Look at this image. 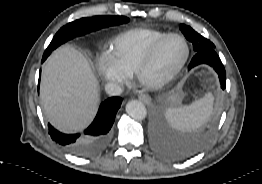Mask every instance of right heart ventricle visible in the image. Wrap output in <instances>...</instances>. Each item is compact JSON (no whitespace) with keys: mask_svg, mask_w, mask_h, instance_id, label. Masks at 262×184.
Here are the masks:
<instances>
[{"mask_svg":"<svg viewBox=\"0 0 262 184\" xmlns=\"http://www.w3.org/2000/svg\"><path fill=\"white\" fill-rule=\"evenodd\" d=\"M167 34L148 28L128 30L113 40L111 55L128 75L134 74L151 47Z\"/></svg>","mask_w":262,"mask_h":184,"instance_id":"1","label":"right heart ventricle"}]
</instances>
